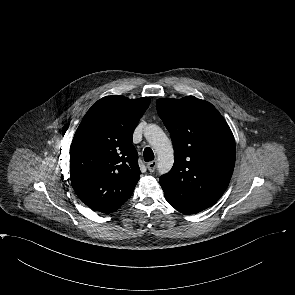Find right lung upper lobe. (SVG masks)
Here are the masks:
<instances>
[{
  "instance_id": "1",
  "label": "right lung upper lobe",
  "mask_w": 295,
  "mask_h": 295,
  "mask_svg": "<svg viewBox=\"0 0 295 295\" xmlns=\"http://www.w3.org/2000/svg\"><path fill=\"white\" fill-rule=\"evenodd\" d=\"M149 97L112 95L98 100L83 117L70 146L73 189L89 208L116 211L140 178L132 135Z\"/></svg>"
}]
</instances>
